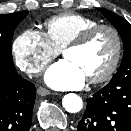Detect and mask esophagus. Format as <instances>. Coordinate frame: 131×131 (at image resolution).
Returning a JSON list of instances; mask_svg holds the SVG:
<instances>
[{"mask_svg":"<svg viewBox=\"0 0 131 131\" xmlns=\"http://www.w3.org/2000/svg\"><path fill=\"white\" fill-rule=\"evenodd\" d=\"M37 94L39 96H47V95L51 94V92L48 89L44 88V87H39L37 89Z\"/></svg>","mask_w":131,"mask_h":131,"instance_id":"1","label":"esophagus"}]
</instances>
